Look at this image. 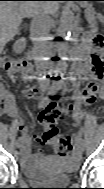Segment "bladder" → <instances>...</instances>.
<instances>
[{"label": "bladder", "instance_id": "31cf9c89", "mask_svg": "<svg viewBox=\"0 0 104 189\" xmlns=\"http://www.w3.org/2000/svg\"><path fill=\"white\" fill-rule=\"evenodd\" d=\"M76 170V163L51 157L36 167L22 168L21 172L37 185L64 186L70 183Z\"/></svg>", "mask_w": 104, "mask_h": 189}]
</instances>
